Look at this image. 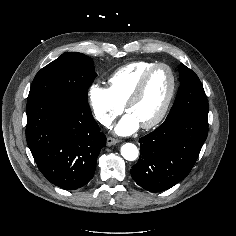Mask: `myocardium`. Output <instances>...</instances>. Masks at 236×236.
Segmentation results:
<instances>
[{"instance_id":"1","label":"myocardium","mask_w":236,"mask_h":236,"mask_svg":"<svg viewBox=\"0 0 236 236\" xmlns=\"http://www.w3.org/2000/svg\"><path fill=\"white\" fill-rule=\"evenodd\" d=\"M159 68H165L168 71V73L170 75V79H171L170 90H169L168 96H167L165 103H164L161 111L159 112V114L150 122L141 125L142 128H144V129H151V128L157 126L158 124H160L163 121V119L166 117V115L169 111V108L171 106V103H172L174 95H175L176 86H177L176 76H175L173 69L165 63H156L153 66H151L149 69H147L144 72V74L140 78L139 82L137 83L135 89L133 90V92L131 93V95L127 99L126 103L124 104L125 110L128 112V109L141 97V95L145 89V86L147 84V81H148L149 77L151 76V74Z\"/></svg>"}]
</instances>
